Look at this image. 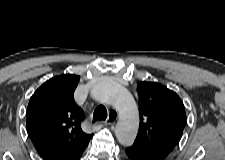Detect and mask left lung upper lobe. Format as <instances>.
Returning a JSON list of instances; mask_svg holds the SVG:
<instances>
[{
	"mask_svg": "<svg viewBox=\"0 0 225 160\" xmlns=\"http://www.w3.org/2000/svg\"><path fill=\"white\" fill-rule=\"evenodd\" d=\"M140 127L130 147L150 160H163L178 145L186 123L179 96L155 82H140Z\"/></svg>",
	"mask_w": 225,
	"mask_h": 160,
	"instance_id": "obj_1",
	"label": "left lung upper lobe"
}]
</instances>
